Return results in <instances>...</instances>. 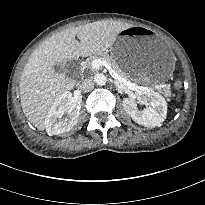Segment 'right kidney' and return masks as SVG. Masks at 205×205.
Listing matches in <instances>:
<instances>
[{"instance_id": "obj_1", "label": "right kidney", "mask_w": 205, "mask_h": 205, "mask_svg": "<svg viewBox=\"0 0 205 205\" xmlns=\"http://www.w3.org/2000/svg\"><path fill=\"white\" fill-rule=\"evenodd\" d=\"M80 106L73 104L70 92L63 93L51 106L46 119L47 133L59 135L70 131L76 124L80 115ZM67 115L65 117L64 114Z\"/></svg>"}]
</instances>
